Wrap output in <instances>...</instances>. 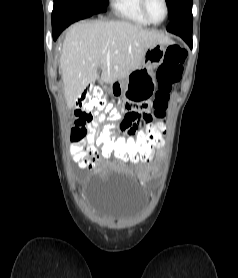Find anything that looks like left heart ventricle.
Listing matches in <instances>:
<instances>
[{
    "mask_svg": "<svg viewBox=\"0 0 238 278\" xmlns=\"http://www.w3.org/2000/svg\"><path fill=\"white\" fill-rule=\"evenodd\" d=\"M147 7L149 14L153 20H162L165 14V8L162 0H148Z\"/></svg>",
    "mask_w": 238,
    "mask_h": 278,
    "instance_id": "1",
    "label": "left heart ventricle"
}]
</instances>
